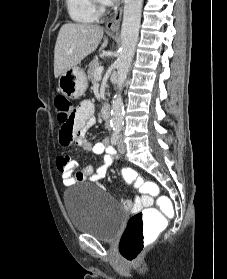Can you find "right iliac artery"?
Listing matches in <instances>:
<instances>
[{"label":"right iliac artery","instance_id":"82829eb1","mask_svg":"<svg viewBox=\"0 0 227 279\" xmlns=\"http://www.w3.org/2000/svg\"><path fill=\"white\" fill-rule=\"evenodd\" d=\"M119 139V131H114L111 137V143L116 145Z\"/></svg>","mask_w":227,"mask_h":279}]
</instances>
